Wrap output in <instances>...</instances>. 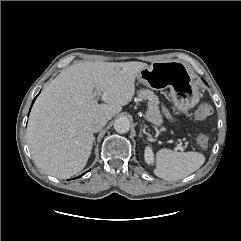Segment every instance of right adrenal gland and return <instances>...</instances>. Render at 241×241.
<instances>
[{
    "instance_id": "obj_1",
    "label": "right adrenal gland",
    "mask_w": 241,
    "mask_h": 241,
    "mask_svg": "<svg viewBox=\"0 0 241 241\" xmlns=\"http://www.w3.org/2000/svg\"><path fill=\"white\" fill-rule=\"evenodd\" d=\"M93 142L95 143V137H94V139H93Z\"/></svg>"
}]
</instances>
